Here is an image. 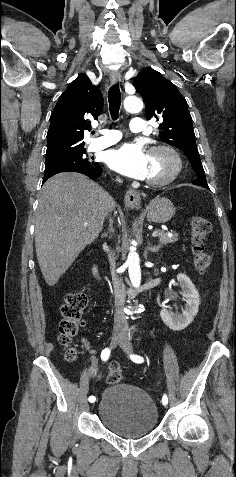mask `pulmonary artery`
Here are the masks:
<instances>
[{
  "label": "pulmonary artery",
  "instance_id": "pulmonary-artery-1",
  "mask_svg": "<svg viewBox=\"0 0 236 477\" xmlns=\"http://www.w3.org/2000/svg\"><path fill=\"white\" fill-rule=\"evenodd\" d=\"M130 129L133 132H144L146 129L145 120L142 118H133L130 121ZM101 132L103 136L95 138L91 143V147L94 150L109 147L118 142L122 137L121 133L117 130L103 129Z\"/></svg>",
  "mask_w": 236,
  "mask_h": 477
}]
</instances>
